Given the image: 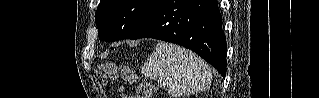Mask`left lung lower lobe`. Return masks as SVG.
Returning a JSON list of instances; mask_svg holds the SVG:
<instances>
[{
  "mask_svg": "<svg viewBox=\"0 0 319 98\" xmlns=\"http://www.w3.org/2000/svg\"><path fill=\"white\" fill-rule=\"evenodd\" d=\"M129 38L182 45L225 77L227 45L217 0H159L146 22Z\"/></svg>",
  "mask_w": 319,
  "mask_h": 98,
  "instance_id": "1",
  "label": "left lung lower lobe"
}]
</instances>
